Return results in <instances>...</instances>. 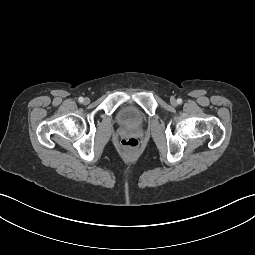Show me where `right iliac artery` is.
Returning a JSON list of instances; mask_svg holds the SVG:
<instances>
[{"label":"right iliac artery","instance_id":"right-iliac-artery-1","mask_svg":"<svg viewBox=\"0 0 255 255\" xmlns=\"http://www.w3.org/2000/svg\"><path fill=\"white\" fill-rule=\"evenodd\" d=\"M78 101H79L80 103H82V102L84 101V98H83V97H79Z\"/></svg>","mask_w":255,"mask_h":255}]
</instances>
